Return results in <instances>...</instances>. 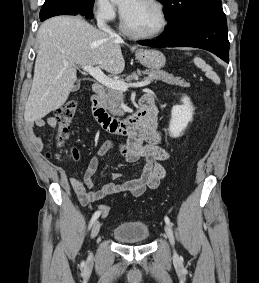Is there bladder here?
Segmentation results:
<instances>
[{
	"mask_svg": "<svg viewBox=\"0 0 259 283\" xmlns=\"http://www.w3.org/2000/svg\"><path fill=\"white\" fill-rule=\"evenodd\" d=\"M112 235L121 242H140L149 239L150 230L144 222H123L113 229Z\"/></svg>",
	"mask_w": 259,
	"mask_h": 283,
	"instance_id": "bladder-1",
	"label": "bladder"
}]
</instances>
